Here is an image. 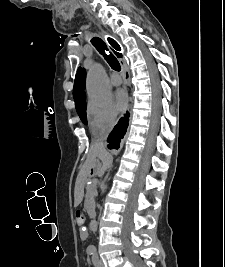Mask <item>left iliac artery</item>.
Returning <instances> with one entry per match:
<instances>
[{"label":"left iliac artery","instance_id":"44dca946","mask_svg":"<svg viewBox=\"0 0 225 267\" xmlns=\"http://www.w3.org/2000/svg\"><path fill=\"white\" fill-rule=\"evenodd\" d=\"M92 262L96 267L98 266V257L96 254L93 255Z\"/></svg>","mask_w":225,"mask_h":267}]
</instances>
